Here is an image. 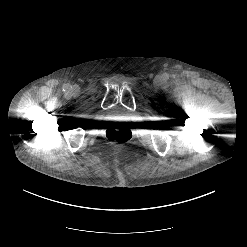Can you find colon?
I'll return each instance as SVG.
<instances>
[{
	"instance_id": "colon-1",
	"label": "colon",
	"mask_w": 247,
	"mask_h": 247,
	"mask_svg": "<svg viewBox=\"0 0 247 247\" xmlns=\"http://www.w3.org/2000/svg\"><path fill=\"white\" fill-rule=\"evenodd\" d=\"M130 137L131 132L128 128L112 129L108 132V139L116 143L126 142Z\"/></svg>"
}]
</instances>
